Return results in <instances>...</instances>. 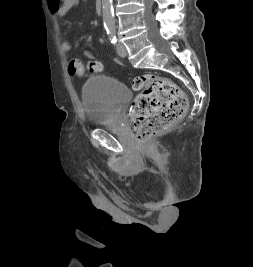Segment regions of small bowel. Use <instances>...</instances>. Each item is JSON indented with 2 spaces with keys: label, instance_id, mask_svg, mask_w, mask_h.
Listing matches in <instances>:
<instances>
[{
  "label": "small bowel",
  "instance_id": "obj_1",
  "mask_svg": "<svg viewBox=\"0 0 253 267\" xmlns=\"http://www.w3.org/2000/svg\"><path fill=\"white\" fill-rule=\"evenodd\" d=\"M80 0H47L50 11L58 18L63 19L66 14L74 7L78 6ZM72 46L70 42L64 38L61 39V49L69 52Z\"/></svg>",
  "mask_w": 253,
  "mask_h": 267
}]
</instances>
